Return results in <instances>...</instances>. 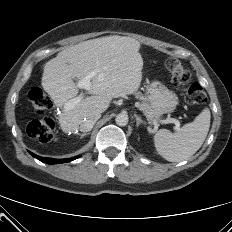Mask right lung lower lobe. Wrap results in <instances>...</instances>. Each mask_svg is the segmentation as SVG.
<instances>
[{"label": "right lung lower lobe", "instance_id": "98d812e1", "mask_svg": "<svg viewBox=\"0 0 232 232\" xmlns=\"http://www.w3.org/2000/svg\"><path fill=\"white\" fill-rule=\"evenodd\" d=\"M29 153H30L33 157H35V158H37L38 160H40V161H42V162H44V163H47V164H58V163L70 162V161H72V160H75V159L81 157V155H78V156H76V157H72V158H68V159H53V158L40 157V156H38V155L33 154V153L30 152V151H29Z\"/></svg>", "mask_w": 232, "mask_h": 232}]
</instances>
